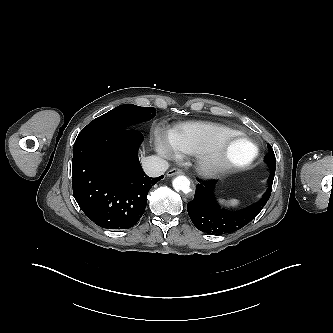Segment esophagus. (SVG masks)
Here are the masks:
<instances>
[{
    "label": "esophagus",
    "instance_id": "34e87169",
    "mask_svg": "<svg viewBox=\"0 0 333 333\" xmlns=\"http://www.w3.org/2000/svg\"><path fill=\"white\" fill-rule=\"evenodd\" d=\"M180 174H183V171L181 169H179L178 167H174V168H171L167 171V176L168 177H172V176H175V175H180Z\"/></svg>",
    "mask_w": 333,
    "mask_h": 333
}]
</instances>
